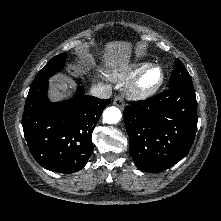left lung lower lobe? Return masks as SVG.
Here are the masks:
<instances>
[{"mask_svg": "<svg viewBox=\"0 0 221 221\" xmlns=\"http://www.w3.org/2000/svg\"><path fill=\"white\" fill-rule=\"evenodd\" d=\"M130 154L144 172L164 171L189 152L197 130L192 79H183L124 110Z\"/></svg>", "mask_w": 221, "mask_h": 221, "instance_id": "1", "label": "left lung lower lobe"}]
</instances>
